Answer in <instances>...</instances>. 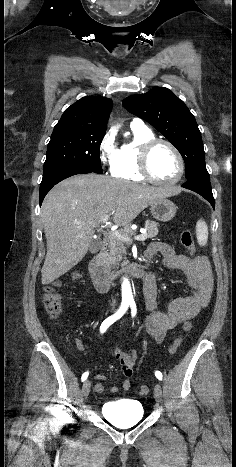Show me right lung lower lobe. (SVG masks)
Masks as SVG:
<instances>
[{
  "instance_id": "98d812e1",
  "label": "right lung lower lobe",
  "mask_w": 236,
  "mask_h": 467,
  "mask_svg": "<svg viewBox=\"0 0 236 467\" xmlns=\"http://www.w3.org/2000/svg\"><path fill=\"white\" fill-rule=\"evenodd\" d=\"M91 172L93 171L78 166H65L43 173V179L40 184V205L50 189L63 179L76 174H86Z\"/></svg>"
}]
</instances>
